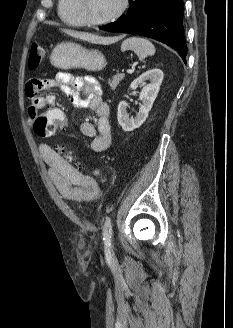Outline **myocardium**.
<instances>
[{
	"label": "myocardium",
	"mask_w": 233,
	"mask_h": 328,
	"mask_svg": "<svg viewBox=\"0 0 233 328\" xmlns=\"http://www.w3.org/2000/svg\"><path fill=\"white\" fill-rule=\"evenodd\" d=\"M127 7H128V0H121L118 9L113 14H111L110 16H108L104 19L95 20V19L90 18L86 14L85 7H84V0H76L77 12H78L79 16L81 17V19L83 20V22L89 26H102V25L113 22L123 15V13L126 11Z\"/></svg>",
	"instance_id": "obj_1"
}]
</instances>
